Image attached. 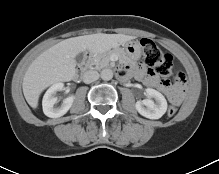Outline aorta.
I'll list each match as a JSON object with an SVG mask.
<instances>
[{
  "label": "aorta",
  "mask_w": 219,
  "mask_h": 174,
  "mask_svg": "<svg viewBox=\"0 0 219 174\" xmlns=\"http://www.w3.org/2000/svg\"><path fill=\"white\" fill-rule=\"evenodd\" d=\"M100 76L104 81H109L113 78V71L111 69L105 68L101 71Z\"/></svg>",
  "instance_id": "aorta-1"
}]
</instances>
